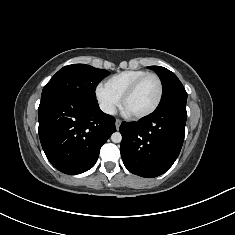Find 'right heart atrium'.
Here are the masks:
<instances>
[{
  "label": "right heart atrium",
  "mask_w": 235,
  "mask_h": 235,
  "mask_svg": "<svg viewBox=\"0 0 235 235\" xmlns=\"http://www.w3.org/2000/svg\"><path fill=\"white\" fill-rule=\"evenodd\" d=\"M95 97L100 109L108 115L114 114L120 105V99L109 91L104 84H98L96 86Z\"/></svg>",
  "instance_id": "1"
}]
</instances>
